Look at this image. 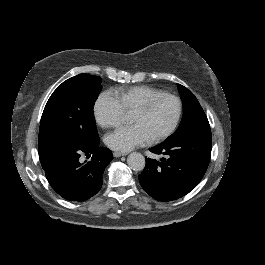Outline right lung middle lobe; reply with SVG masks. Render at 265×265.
Instances as JSON below:
<instances>
[{
    "label": "right lung middle lobe",
    "instance_id": "1",
    "mask_svg": "<svg viewBox=\"0 0 265 265\" xmlns=\"http://www.w3.org/2000/svg\"><path fill=\"white\" fill-rule=\"evenodd\" d=\"M101 89L100 77L79 74L53 92L40 121L39 153L51 146L76 148L99 141L93 108Z\"/></svg>",
    "mask_w": 265,
    "mask_h": 265
}]
</instances>
